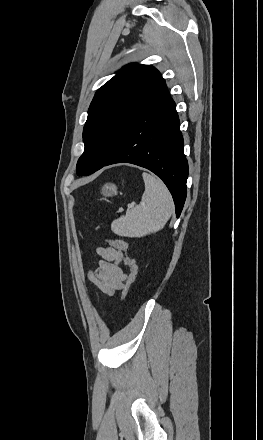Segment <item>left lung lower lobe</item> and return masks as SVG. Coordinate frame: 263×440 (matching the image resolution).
Wrapping results in <instances>:
<instances>
[{"instance_id":"1","label":"left lung lower lobe","mask_w":263,"mask_h":440,"mask_svg":"<svg viewBox=\"0 0 263 440\" xmlns=\"http://www.w3.org/2000/svg\"><path fill=\"white\" fill-rule=\"evenodd\" d=\"M183 145L176 105L164 83L137 113L119 148L104 166L126 162L155 173L172 194L179 217L188 177Z\"/></svg>"}]
</instances>
